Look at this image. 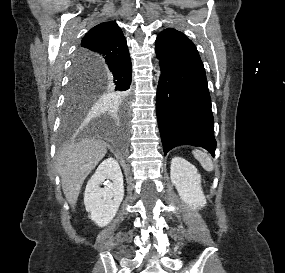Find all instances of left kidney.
Wrapping results in <instances>:
<instances>
[{"mask_svg":"<svg viewBox=\"0 0 285 273\" xmlns=\"http://www.w3.org/2000/svg\"><path fill=\"white\" fill-rule=\"evenodd\" d=\"M170 169L171 182L182 201L192 209L204 207L206 199L201 188V175L196 167L181 157H174Z\"/></svg>","mask_w":285,"mask_h":273,"instance_id":"left-kidney-1","label":"left kidney"}]
</instances>
